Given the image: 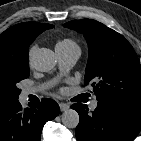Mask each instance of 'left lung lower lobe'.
Masks as SVG:
<instances>
[{
  "label": "left lung lower lobe",
  "mask_w": 141,
  "mask_h": 141,
  "mask_svg": "<svg viewBox=\"0 0 141 141\" xmlns=\"http://www.w3.org/2000/svg\"><path fill=\"white\" fill-rule=\"evenodd\" d=\"M80 117L78 141H132L141 130V108L114 102H98L91 113L87 106H71Z\"/></svg>",
  "instance_id": "1"
}]
</instances>
